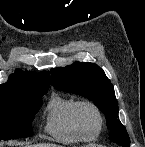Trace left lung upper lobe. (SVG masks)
Returning <instances> with one entry per match:
<instances>
[{
    "label": "left lung upper lobe",
    "mask_w": 145,
    "mask_h": 147,
    "mask_svg": "<svg viewBox=\"0 0 145 147\" xmlns=\"http://www.w3.org/2000/svg\"><path fill=\"white\" fill-rule=\"evenodd\" d=\"M51 75L52 84L56 89L92 100L105 114L112 142L123 147L130 146L128 133L118 119V102L114 87L98 65L75 62L64 68H53Z\"/></svg>",
    "instance_id": "5c2ea615"
}]
</instances>
